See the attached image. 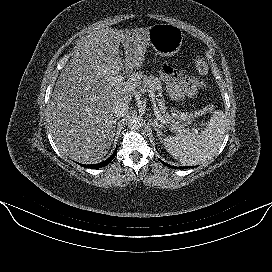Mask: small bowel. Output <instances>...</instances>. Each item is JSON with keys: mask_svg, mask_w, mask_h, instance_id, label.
<instances>
[{"mask_svg": "<svg viewBox=\"0 0 272 272\" xmlns=\"http://www.w3.org/2000/svg\"><path fill=\"white\" fill-rule=\"evenodd\" d=\"M163 78L166 82L167 90L174 100L194 97L199 89L204 86L196 78L178 73L168 65L163 68Z\"/></svg>", "mask_w": 272, "mask_h": 272, "instance_id": "c3829d8e", "label": "small bowel"}]
</instances>
